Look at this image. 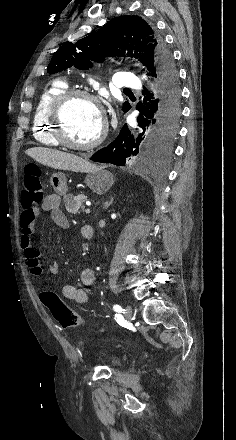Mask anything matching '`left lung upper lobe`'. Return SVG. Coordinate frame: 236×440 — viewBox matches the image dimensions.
Segmentation results:
<instances>
[{
    "label": "left lung upper lobe",
    "mask_w": 236,
    "mask_h": 440,
    "mask_svg": "<svg viewBox=\"0 0 236 440\" xmlns=\"http://www.w3.org/2000/svg\"><path fill=\"white\" fill-rule=\"evenodd\" d=\"M106 56L132 57L146 68L149 64L172 61L164 40L139 16L113 18L98 32L76 43L65 42L54 53L47 70L57 73L74 66L89 69L91 61L103 62ZM130 104L125 102L123 110Z\"/></svg>",
    "instance_id": "5c2ea615"
}]
</instances>
